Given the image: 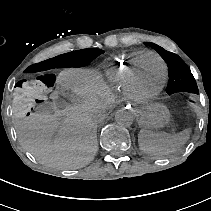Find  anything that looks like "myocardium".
<instances>
[{"label":"myocardium","instance_id":"1","mask_svg":"<svg viewBox=\"0 0 211 211\" xmlns=\"http://www.w3.org/2000/svg\"><path fill=\"white\" fill-rule=\"evenodd\" d=\"M149 59H155L160 64L161 69H162L161 82L155 90H153L151 92H146L141 88L140 83H139L140 71H136V72L132 73L131 78H130V93H131V97L138 102H145V101L154 99L155 97H157L160 94V92L162 91V89L164 87V83H165V79H166V66L160 57L150 56L149 58H144L140 62V68L142 69L145 64V61H147Z\"/></svg>","mask_w":211,"mask_h":211}]
</instances>
